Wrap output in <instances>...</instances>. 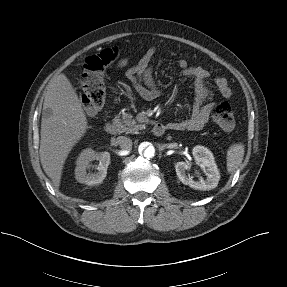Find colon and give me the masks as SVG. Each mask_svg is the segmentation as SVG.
<instances>
[{
    "instance_id": "colon-1",
    "label": "colon",
    "mask_w": 287,
    "mask_h": 287,
    "mask_svg": "<svg viewBox=\"0 0 287 287\" xmlns=\"http://www.w3.org/2000/svg\"><path fill=\"white\" fill-rule=\"evenodd\" d=\"M118 56L119 51L116 48H108L88 57L85 61L80 100L90 115L97 113L105 103L104 72ZM212 117L223 130L230 131L235 126L234 113L227 102L216 104L212 110Z\"/></svg>"
}]
</instances>
